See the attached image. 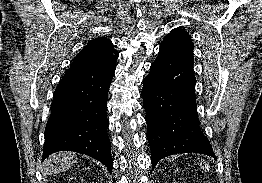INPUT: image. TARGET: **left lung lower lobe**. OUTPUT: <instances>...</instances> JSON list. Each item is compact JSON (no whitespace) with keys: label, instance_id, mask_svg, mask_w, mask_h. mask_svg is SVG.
Wrapping results in <instances>:
<instances>
[{"label":"left lung lower lobe","instance_id":"left-lung-lower-lobe-1","mask_svg":"<svg viewBox=\"0 0 262 183\" xmlns=\"http://www.w3.org/2000/svg\"><path fill=\"white\" fill-rule=\"evenodd\" d=\"M194 60L159 51L143 80L152 168L169 155L200 153L216 159L197 115Z\"/></svg>","mask_w":262,"mask_h":183}]
</instances>
